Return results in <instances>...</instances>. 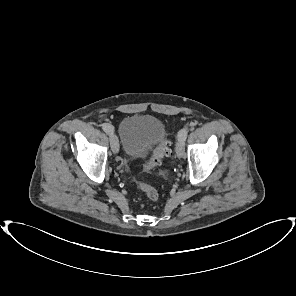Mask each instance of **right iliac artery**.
Returning a JSON list of instances; mask_svg holds the SVG:
<instances>
[{"label":"right iliac artery","mask_w":296,"mask_h":296,"mask_svg":"<svg viewBox=\"0 0 296 296\" xmlns=\"http://www.w3.org/2000/svg\"><path fill=\"white\" fill-rule=\"evenodd\" d=\"M102 129H103L107 134H110V133L113 132V128H112V126L109 125V124H106V123L102 124Z\"/></svg>","instance_id":"obj_1"}]
</instances>
